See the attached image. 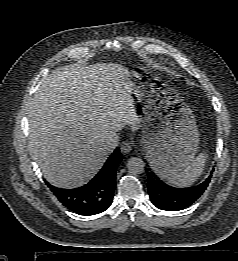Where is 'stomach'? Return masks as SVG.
Segmentation results:
<instances>
[{"label":"stomach","instance_id":"0dacf381","mask_svg":"<svg viewBox=\"0 0 238 261\" xmlns=\"http://www.w3.org/2000/svg\"><path fill=\"white\" fill-rule=\"evenodd\" d=\"M128 84L135 95L132 108L141 118L146 158L160 178L169 179L184 170L198 150L194 113L174 88L159 80L130 74Z\"/></svg>","mask_w":238,"mask_h":261}]
</instances>
